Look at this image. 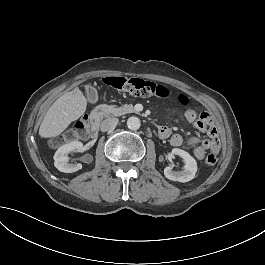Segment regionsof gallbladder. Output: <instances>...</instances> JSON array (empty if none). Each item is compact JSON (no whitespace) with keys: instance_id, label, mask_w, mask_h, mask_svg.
<instances>
[{"instance_id":"bac80fb5","label":"gallbladder","mask_w":265,"mask_h":265,"mask_svg":"<svg viewBox=\"0 0 265 265\" xmlns=\"http://www.w3.org/2000/svg\"><path fill=\"white\" fill-rule=\"evenodd\" d=\"M84 91L86 92L90 103L95 104L98 101V90L95 87H91L90 85H87L84 88Z\"/></svg>"}]
</instances>
